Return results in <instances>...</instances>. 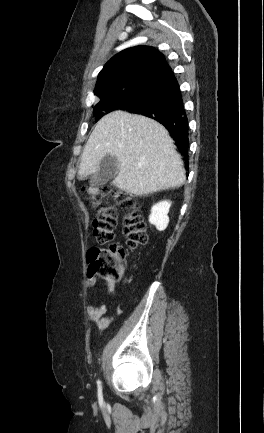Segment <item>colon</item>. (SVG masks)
Returning <instances> with one entry per match:
<instances>
[{
    "mask_svg": "<svg viewBox=\"0 0 264 433\" xmlns=\"http://www.w3.org/2000/svg\"><path fill=\"white\" fill-rule=\"evenodd\" d=\"M97 210L93 221L95 241L101 247H93L89 251L90 272L110 281H117L122 275L121 261L125 257L126 249L114 243V228L117 222L116 208L104 202L112 195L116 206L127 210L123 221V232L127 247L136 249L147 242L145 223L138 203L131 194L113 191L108 186H91L83 190Z\"/></svg>",
    "mask_w": 264,
    "mask_h": 433,
    "instance_id": "obj_1",
    "label": "colon"
}]
</instances>
